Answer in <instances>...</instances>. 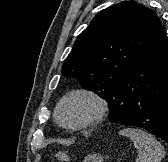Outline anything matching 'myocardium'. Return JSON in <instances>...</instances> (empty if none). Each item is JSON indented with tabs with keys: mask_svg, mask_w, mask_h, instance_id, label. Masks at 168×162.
I'll return each instance as SVG.
<instances>
[{
	"mask_svg": "<svg viewBox=\"0 0 168 162\" xmlns=\"http://www.w3.org/2000/svg\"><path fill=\"white\" fill-rule=\"evenodd\" d=\"M71 100H80L91 105V113L82 121L76 124H66L61 119V110L63 106ZM108 110L107 101L98 93L88 89H76L66 93L56 104L55 119L58 125L69 131H78L91 127L99 123L106 115Z\"/></svg>",
	"mask_w": 168,
	"mask_h": 162,
	"instance_id": "1",
	"label": "myocardium"
}]
</instances>
